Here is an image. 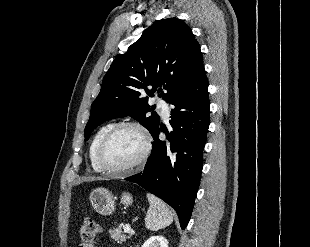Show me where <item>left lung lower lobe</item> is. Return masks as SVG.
<instances>
[{
    "instance_id": "0a47b994",
    "label": "left lung lower lobe",
    "mask_w": 310,
    "mask_h": 247,
    "mask_svg": "<svg viewBox=\"0 0 310 247\" xmlns=\"http://www.w3.org/2000/svg\"><path fill=\"white\" fill-rule=\"evenodd\" d=\"M172 131L159 127L144 171L126 178L161 198L178 214L185 229L194 206L209 127L208 80L204 66L169 100ZM164 131L168 141L158 139Z\"/></svg>"
}]
</instances>
